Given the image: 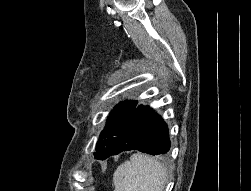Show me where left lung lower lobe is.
I'll return each mask as SVG.
<instances>
[{"mask_svg": "<svg viewBox=\"0 0 251 191\" xmlns=\"http://www.w3.org/2000/svg\"><path fill=\"white\" fill-rule=\"evenodd\" d=\"M169 149L168 127L162 117L149 106L139 105L118 134L109 156L130 150L160 155Z\"/></svg>", "mask_w": 251, "mask_h": 191, "instance_id": "left-lung-lower-lobe-1", "label": "left lung lower lobe"}]
</instances>
